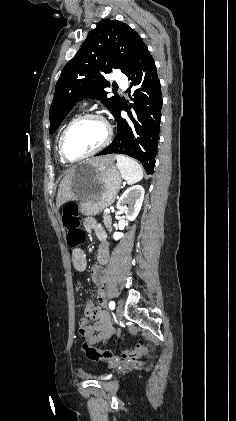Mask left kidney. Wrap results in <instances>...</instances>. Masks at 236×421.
<instances>
[{
  "label": "left kidney",
  "instance_id": "left-kidney-1",
  "mask_svg": "<svg viewBox=\"0 0 236 421\" xmlns=\"http://www.w3.org/2000/svg\"><path fill=\"white\" fill-rule=\"evenodd\" d=\"M144 194L145 190L141 184L130 186V188H127V190L121 194L116 204V208H118L120 213H125L128 221H135L142 206ZM121 237H124L123 233H114L113 235L115 241H118Z\"/></svg>",
  "mask_w": 236,
  "mask_h": 421
}]
</instances>
